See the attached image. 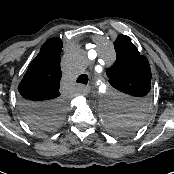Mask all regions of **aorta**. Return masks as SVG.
I'll return each mask as SVG.
<instances>
[{"mask_svg": "<svg viewBox=\"0 0 174 174\" xmlns=\"http://www.w3.org/2000/svg\"><path fill=\"white\" fill-rule=\"evenodd\" d=\"M95 95L99 103L100 111L103 114V123H106V121L109 120L108 118L110 115H115L117 117H121L123 115V111L115 99L114 92L106 82L102 80L97 82Z\"/></svg>", "mask_w": 174, "mask_h": 174, "instance_id": "aorta-1", "label": "aorta"}]
</instances>
